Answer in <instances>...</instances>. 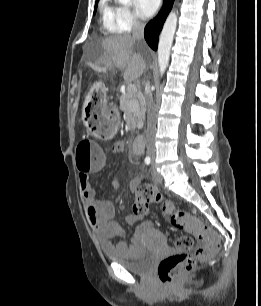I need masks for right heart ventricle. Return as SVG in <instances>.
<instances>
[{
    "label": "right heart ventricle",
    "instance_id": "right-heart-ventricle-1",
    "mask_svg": "<svg viewBox=\"0 0 261 306\" xmlns=\"http://www.w3.org/2000/svg\"><path fill=\"white\" fill-rule=\"evenodd\" d=\"M100 25L102 31L107 34H120L123 32L117 22V7L109 0H101Z\"/></svg>",
    "mask_w": 261,
    "mask_h": 306
}]
</instances>
